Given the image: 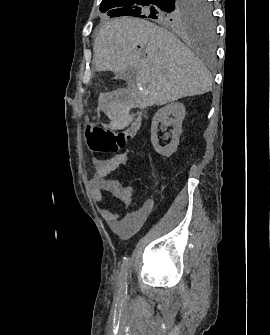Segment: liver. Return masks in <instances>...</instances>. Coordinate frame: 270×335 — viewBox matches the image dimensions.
Returning a JSON list of instances; mask_svg holds the SVG:
<instances>
[{
    "mask_svg": "<svg viewBox=\"0 0 270 335\" xmlns=\"http://www.w3.org/2000/svg\"><path fill=\"white\" fill-rule=\"evenodd\" d=\"M93 50L97 72L117 74L132 68L145 106L211 90L212 78L190 48L147 20L125 16L104 22Z\"/></svg>",
    "mask_w": 270,
    "mask_h": 335,
    "instance_id": "liver-1",
    "label": "liver"
}]
</instances>
